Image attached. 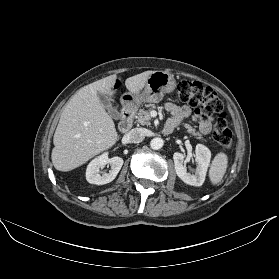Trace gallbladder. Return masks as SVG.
I'll return each instance as SVG.
<instances>
[{
    "label": "gallbladder",
    "mask_w": 279,
    "mask_h": 279,
    "mask_svg": "<svg viewBox=\"0 0 279 279\" xmlns=\"http://www.w3.org/2000/svg\"><path fill=\"white\" fill-rule=\"evenodd\" d=\"M98 98L100 103L102 104L103 107H105L108 110V113L110 114V116L116 120H120L121 119V114L118 112L117 109H115L114 107H112L111 101L108 98L107 95L102 94V93H98Z\"/></svg>",
    "instance_id": "gallbladder-1"
}]
</instances>
